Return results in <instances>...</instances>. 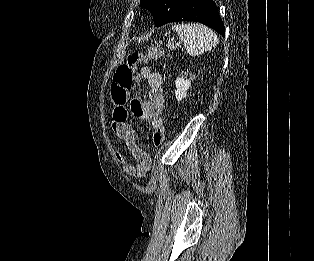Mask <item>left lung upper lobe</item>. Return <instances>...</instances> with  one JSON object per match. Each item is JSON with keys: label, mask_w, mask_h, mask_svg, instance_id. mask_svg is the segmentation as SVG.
I'll return each instance as SVG.
<instances>
[{"label": "left lung upper lobe", "mask_w": 314, "mask_h": 261, "mask_svg": "<svg viewBox=\"0 0 314 261\" xmlns=\"http://www.w3.org/2000/svg\"><path fill=\"white\" fill-rule=\"evenodd\" d=\"M184 0H140V6L148 9L155 19V26L170 21Z\"/></svg>", "instance_id": "1"}]
</instances>
